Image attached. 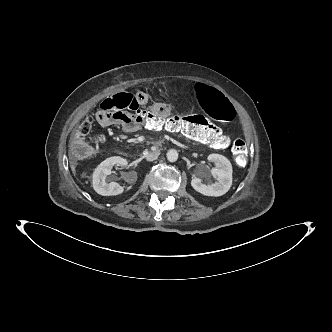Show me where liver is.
<instances>
[{
    "label": "liver",
    "mask_w": 332,
    "mask_h": 332,
    "mask_svg": "<svg viewBox=\"0 0 332 332\" xmlns=\"http://www.w3.org/2000/svg\"><path fill=\"white\" fill-rule=\"evenodd\" d=\"M71 169H72L73 173H75V166L73 164H71Z\"/></svg>",
    "instance_id": "liver-1"
}]
</instances>
